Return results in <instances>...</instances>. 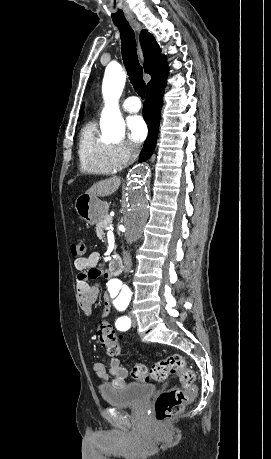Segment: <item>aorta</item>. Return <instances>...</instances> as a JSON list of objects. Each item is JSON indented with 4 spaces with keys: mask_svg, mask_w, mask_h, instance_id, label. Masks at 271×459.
Here are the masks:
<instances>
[{
    "mask_svg": "<svg viewBox=\"0 0 271 459\" xmlns=\"http://www.w3.org/2000/svg\"><path fill=\"white\" fill-rule=\"evenodd\" d=\"M125 80L126 75L120 68H108L103 79L105 108L101 114L100 126L103 135L111 140H120L125 134V124L118 106ZM150 177V168L145 164L134 166L128 173L120 201V212L123 217L124 237L129 244L141 238L150 216ZM107 287L112 292L125 288L116 278L109 279Z\"/></svg>",
    "mask_w": 271,
    "mask_h": 459,
    "instance_id": "obj_1",
    "label": "aorta"
}]
</instances>
